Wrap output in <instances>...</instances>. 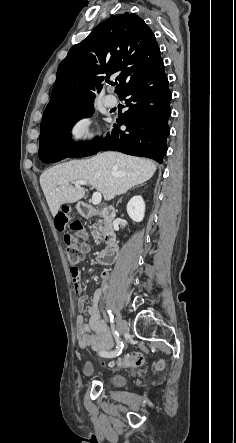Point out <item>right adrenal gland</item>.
I'll list each match as a JSON object with an SVG mask.
<instances>
[{
  "mask_svg": "<svg viewBox=\"0 0 236 443\" xmlns=\"http://www.w3.org/2000/svg\"><path fill=\"white\" fill-rule=\"evenodd\" d=\"M121 200H122V198H120V200L118 201V203L121 202ZM118 203H117V204H118Z\"/></svg>",
  "mask_w": 236,
  "mask_h": 443,
  "instance_id": "right-adrenal-gland-1",
  "label": "right adrenal gland"
}]
</instances>
